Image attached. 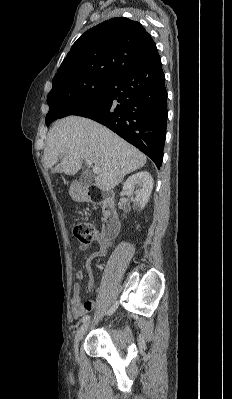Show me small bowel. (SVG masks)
Segmentation results:
<instances>
[{"mask_svg":"<svg viewBox=\"0 0 232 399\" xmlns=\"http://www.w3.org/2000/svg\"><path fill=\"white\" fill-rule=\"evenodd\" d=\"M111 246L110 242H103L99 249L95 252H92L88 256V260H95L102 258L105 254L107 249ZM89 248V243L88 242H82L80 244V249L82 251H85ZM77 276L79 279H83L85 277V272L83 269H79L77 272ZM94 285V280L93 277L89 274L88 277V283H87V291H91ZM93 308V302L92 301H86L82 303L81 301V294H80V285L79 283H74L73 284V294L70 299V318L71 320H76L78 317L84 315L87 311L91 310ZM127 328H133L136 327V323L133 322H128L126 323Z\"/></svg>","mask_w":232,"mask_h":399,"instance_id":"1","label":"small bowel"}]
</instances>
